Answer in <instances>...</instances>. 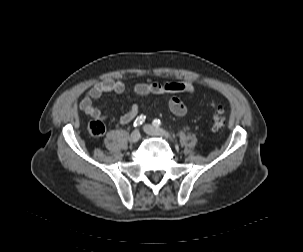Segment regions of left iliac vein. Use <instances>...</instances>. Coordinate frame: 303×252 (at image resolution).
Wrapping results in <instances>:
<instances>
[{"instance_id":"1","label":"left iliac vein","mask_w":303,"mask_h":252,"mask_svg":"<svg viewBox=\"0 0 303 252\" xmlns=\"http://www.w3.org/2000/svg\"><path fill=\"white\" fill-rule=\"evenodd\" d=\"M143 129L149 135L161 136V137H164V138H167V139H170V140L172 139L171 135L162 128H157V127H154L150 124H146V125L143 126Z\"/></svg>"}]
</instances>
